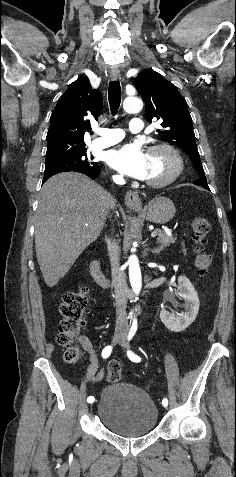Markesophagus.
Wrapping results in <instances>:
<instances>
[{
	"mask_svg": "<svg viewBox=\"0 0 236 477\" xmlns=\"http://www.w3.org/2000/svg\"><path fill=\"white\" fill-rule=\"evenodd\" d=\"M121 76L120 70L114 68L110 72V77L112 80H117ZM125 204L132 209L140 210L142 208L141 198L136 191H128L125 195Z\"/></svg>",
	"mask_w": 236,
	"mask_h": 477,
	"instance_id": "obj_1",
	"label": "esophagus"
}]
</instances>
